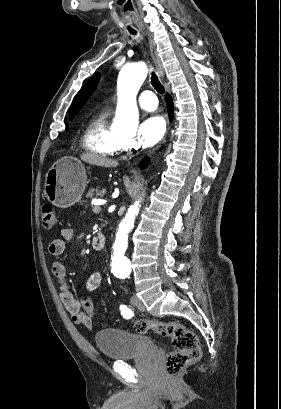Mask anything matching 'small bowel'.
I'll return each instance as SVG.
<instances>
[{"instance_id":"1","label":"small bowel","mask_w":281,"mask_h":409,"mask_svg":"<svg viewBox=\"0 0 281 409\" xmlns=\"http://www.w3.org/2000/svg\"><path fill=\"white\" fill-rule=\"evenodd\" d=\"M72 238L73 230L71 228L61 229L59 237L51 241L49 252L54 256L62 255ZM52 271L59 282L60 299L67 312L70 314L72 322L87 329H92L94 326V307L92 302L88 298L78 300L74 297L67 282V267L63 262H53ZM101 280V273H93L87 279L86 288L89 291L96 290L99 287Z\"/></svg>"}]
</instances>
